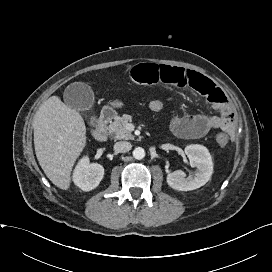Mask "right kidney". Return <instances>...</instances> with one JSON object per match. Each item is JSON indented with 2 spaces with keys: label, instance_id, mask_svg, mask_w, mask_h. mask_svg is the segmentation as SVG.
<instances>
[{
  "label": "right kidney",
  "instance_id": "right-kidney-1",
  "mask_svg": "<svg viewBox=\"0 0 272 272\" xmlns=\"http://www.w3.org/2000/svg\"><path fill=\"white\" fill-rule=\"evenodd\" d=\"M104 175V168L97 163H89V158L83 157L77 164L73 181L83 191H90L96 188Z\"/></svg>",
  "mask_w": 272,
  "mask_h": 272
}]
</instances>
